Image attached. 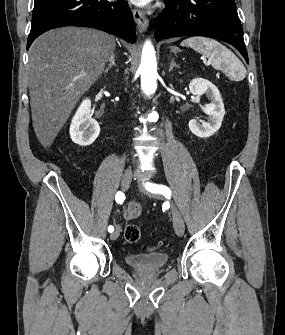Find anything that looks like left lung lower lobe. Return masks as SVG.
<instances>
[{"label": "left lung lower lobe", "mask_w": 285, "mask_h": 335, "mask_svg": "<svg viewBox=\"0 0 285 335\" xmlns=\"http://www.w3.org/2000/svg\"><path fill=\"white\" fill-rule=\"evenodd\" d=\"M157 18L155 38L208 36L233 45L248 63L235 0H165Z\"/></svg>", "instance_id": "1"}]
</instances>
